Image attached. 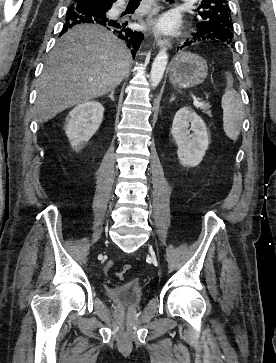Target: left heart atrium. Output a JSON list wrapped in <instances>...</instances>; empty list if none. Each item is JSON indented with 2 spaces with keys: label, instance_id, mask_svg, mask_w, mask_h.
I'll return each instance as SVG.
<instances>
[{
  "label": "left heart atrium",
  "instance_id": "39dd6f15",
  "mask_svg": "<svg viewBox=\"0 0 276 363\" xmlns=\"http://www.w3.org/2000/svg\"><path fill=\"white\" fill-rule=\"evenodd\" d=\"M155 28L164 33H173L179 27V21L175 14L167 13L161 16L155 22Z\"/></svg>",
  "mask_w": 276,
  "mask_h": 363
}]
</instances>
